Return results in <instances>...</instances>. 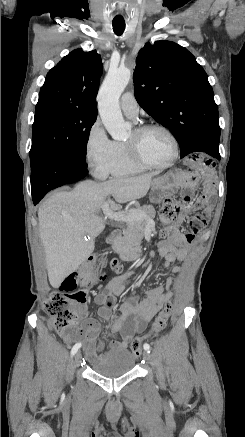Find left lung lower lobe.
<instances>
[{
  "label": "left lung lower lobe",
  "mask_w": 245,
  "mask_h": 437,
  "mask_svg": "<svg viewBox=\"0 0 245 437\" xmlns=\"http://www.w3.org/2000/svg\"><path fill=\"white\" fill-rule=\"evenodd\" d=\"M196 151H199V152H206V153H208L209 155H211L212 157H214V158L220 160V154H219V149H218V147H213V146H201V147H198V148L196 149Z\"/></svg>",
  "instance_id": "left-lung-lower-lobe-1"
}]
</instances>
